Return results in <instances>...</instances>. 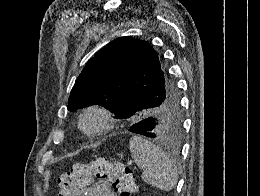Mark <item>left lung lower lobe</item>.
<instances>
[{
    "label": "left lung lower lobe",
    "mask_w": 260,
    "mask_h": 196,
    "mask_svg": "<svg viewBox=\"0 0 260 196\" xmlns=\"http://www.w3.org/2000/svg\"><path fill=\"white\" fill-rule=\"evenodd\" d=\"M115 114L117 117L122 119H128L132 116L133 111H127V109L123 112L116 111ZM155 129V122L152 119H144L130 126L129 131L137 134L144 135L146 137L153 138Z\"/></svg>",
    "instance_id": "1"
}]
</instances>
